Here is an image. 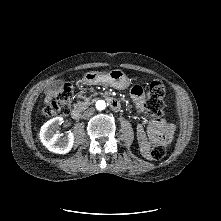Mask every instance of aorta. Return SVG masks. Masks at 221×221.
Segmentation results:
<instances>
[{
	"label": "aorta",
	"mask_w": 221,
	"mask_h": 221,
	"mask_svg": "<svg viewBox=\"0 0 221 221\" xmlns=\"http://www.w3.org/2000/svg\"><path fill=\"white\" fill-rule=\"evenodd\" d=\"M106 108V103L104 100H98L96 102V109L99 110V111H102Z\"/></svg>",
	"instance_id": "aorta-1"
}]
</instances>
